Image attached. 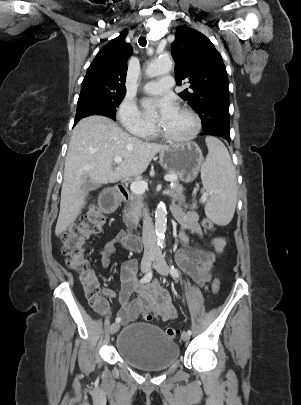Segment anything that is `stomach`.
I'll return each mask as SVG.
<instances>
[{
	"label": "stomach",
	"instance_id": "1",
	"mask_svg": "<svg viewBox=\"0 0 301 405\" xmlns=\"http://www.w3.org/2000/svg\"><path fill=\"white\" fill-rule=\"evenodd\" d=\"M160 164L169 173H175L180 180L193 181L202 166V151L195 142H186L170 146L159 153Z\"/></svg>",
	"mask_w": 301,
	"mask_h": 405
}]
</instances>
